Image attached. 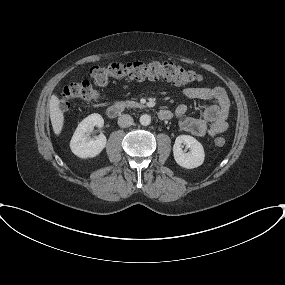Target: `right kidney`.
Wrapping results in <instances>:
<instances>
[{"instance_id": "1", "label": "right kidney", "mask_w": 285, "mask_h": 285, "mask_svg": "<svg viewBox=\"0 0 285 285\" xmlns=\"http://www.w3.org/2000/svg\"><path fill=\"white\" fill-rule=\"evenodd\" d=\"M103 125L104 119L97 113L91 114L82 120L70 141L72 152L83 159L93 158L99 155L107 143L105 135L100 134L96 140H93L88 136L94 126L101 128Z\"/></svg>"}]
</instances>
